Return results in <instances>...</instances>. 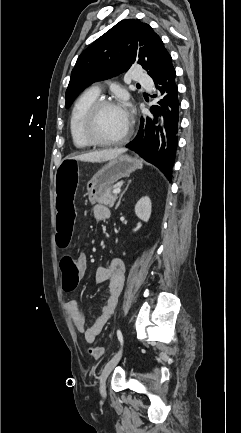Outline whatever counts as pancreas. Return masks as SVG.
I'll list each match as a JSON object with an SVG mask.
<instances>
[{
    "instance_id": "obj_1",
    "label": "pancreas",
    "mask_w": 241,
    "mask_h": 433,
    "mask_svg": "<svg viewBox=\"0 0 241 433\" xmlns=\"http://www.w3.org/2000/svg\"><path fill=\"white\" fill-rule=\"evenodd\" d=\"M117 198H118L117 194H112L111 190H108L97 199V202L99 204H103L105 206H109L110 208H112Z\"/></svg>"
}]
</instances>
